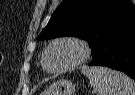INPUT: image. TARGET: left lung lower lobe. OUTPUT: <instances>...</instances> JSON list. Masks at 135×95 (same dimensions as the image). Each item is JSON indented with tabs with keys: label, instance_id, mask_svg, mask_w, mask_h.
Listing matches in <instances>:
<instances>
[{
	"label": "left lung lower lobe",
	"instance_id": "left-lung-lower-lobe-1",
	"mask_svg": "<svg viewBox=\"0 0 135 95\" xmlns=\"http://www.w3.org/2000/svg\"><path fill=\"white\" fill-rule=\"evenodd\" d=\"M89 65L122 71L135 80V21L109 34Z\"/></svg>",
	"mask_w": 135,
	"mask_h": 95
}]
</instances>
